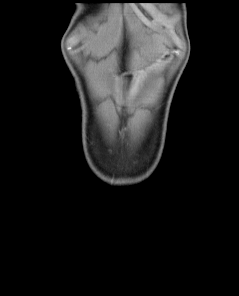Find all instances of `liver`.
I'll use <instances>...</instances> for the list:
<instances>
[{"instance_id": "1", "label": "liver", "mask_w": 239, "mask_h": 296, "mask_svg": "<svg viewBox=\"0 0 239 296\" xmlns=\"http://www.w3.org/2000/svg\"><path fill=\"white\" fill-rule=\"evenodd\" d=\"M154 38V51H160L163 48L162 43L166 42V40L164 39V37L162 35H158V34H154L153 35ZM135 62H134V66L137 67V65L139 64L141 58L139 57V55H135Z\"/></svg>"}]
</instances>
